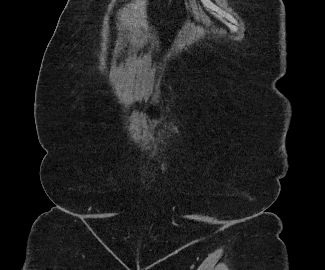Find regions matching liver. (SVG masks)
Segmentation results:
<instances>
[{
    "label": "liver",
    "instance_id": "1",
    "mask_svg": "<svg viewBox=\"0 0 325 270\" xmlns=\"http://www.w3.org/2000/svg\"><path fill=\"white\" fill-rule=\"evenodd\" d=\"M119 21L122 25L132 28L140 27L142 25L140 21V13L137 6H132L130 9H125L119 13Z\"/></svg>",
    "mask_w": 325,
    "mask_h": 270
}]
</instances>
